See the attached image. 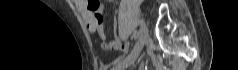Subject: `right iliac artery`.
<instances>
[{
  "label": "right iliac artery",
  "mask_w": 238,
  "mask_h": 70,
  "mask_svg": "<svg viewBox=\"0 0 238 70\" xmlns=\"http://www.w3.org/2000/svg\"><path fill=\"white\" fill-rule=\"evenodd\" d=\"M138 34H139V33H138L137 31L134 32V35H133V36H134L135 39L138 37ZM123 58H124V57H119V58H117L112 64L115 65V64L119 63Z\"/></svg>",
  "instance_id": "obj_1"
}]
</instances>
